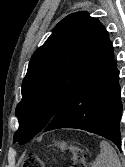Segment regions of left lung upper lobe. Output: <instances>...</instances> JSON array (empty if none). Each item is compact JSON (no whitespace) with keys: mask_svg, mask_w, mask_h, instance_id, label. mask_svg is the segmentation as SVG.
Returning a JSON list of instances; mask_svg holds the SVG:
<instances>
[{"mask_svg":"<svg viewBox=\"0 0 125 167\" xmlns=\"http://www.w3.org/2000/svg\"><path fill=\"white\" fill-rule=\"evenodd\" d=\"M108 33L85 11L61 20L30 60L15 114L13 142L25 144L43 130L90 73Z\"/></svg>","mask_w":125,"mask_h":167,"instance_id":"5c2ea615","label":"left lung upper lobe"}]
</instances>
